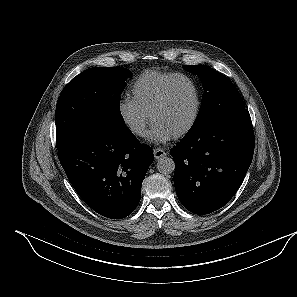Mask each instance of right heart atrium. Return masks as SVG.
<instances>
[{"label":"right heart atrium","mask_w":297,"mask_h":297,"mask_svg":"<svg viewBox=\"0 0 297 297\" xmlns=\"http://www.w3.org/2000/svg\"><path fill=\"white\" fill-rule=\"evenodd\" d=\"M118 114L126 129L134 136L145 134L149 116L131 97H125L118 103Z\"/></svg>","instance_id":"d8ad5b80"}]
</instances>
